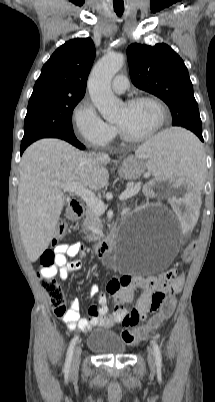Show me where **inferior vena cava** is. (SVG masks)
Listing matches in <instances>:
<instances>
[{"instance_id":"602c4592","label":"inferior vena cava","mask_w":215,"mask_h":402,"mask_svg":"<svg viewBox=\"0 0 215 402\" xmlns=\"http://www.w3.org/2000/svg\"><path fill=\"white\" fill-rule=\"evenodd\" d=\"M100 157H102L103 159H108L109 158L108 155H106V154H102V155H100Z\"/></svg>"}]
</instances>
